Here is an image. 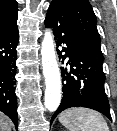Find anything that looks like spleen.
<instances>
[{"label":"spleen","mask_w":117,"mask_h":131,"mask_svg":"<svg viewBox=\"0 0 117 131\" xmlns=\"http://www.w3.org/2000/svg\"><path fill=\"white\" fill-rule=\"evenodd\" d=\"M59 122L69 131H109L103 116L87 108H70L62 112Z\"/></svg>","instance_id":"3e777b00"}]
</instances>
